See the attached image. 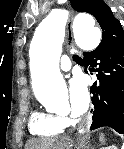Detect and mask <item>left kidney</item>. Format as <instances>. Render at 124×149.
Masks as SVG:
<instances>
[{
	"mask_svg": "<svg viewBox=\"0 0 124 149\" xmlns=\"http://www.w3.org/2000/svg\"><path fill=\"white\" fill-rule=\"evenodd\" d=\"M102 149H117L116 146L112 145V146H109V147H105V148H102Z\"/></svg>",
	"mask_w": 124,
	"mask_h": 149,
	"instance_id": "obj_1",
	"label": "left kidney"
}]
</instances>
